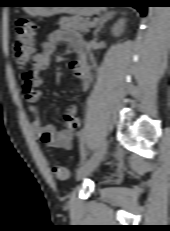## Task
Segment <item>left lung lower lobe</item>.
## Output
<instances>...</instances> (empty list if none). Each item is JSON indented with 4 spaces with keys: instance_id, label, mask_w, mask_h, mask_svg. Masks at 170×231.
Returning <instances> with one entry per match:
<instances>
[{
    "instance_id": "obj_1",
    "label": "left lung lower lobe",
    "mask_w": 170,
    "mask_h": 231,
    "mask_svg": "<svg viewBox=\"0 0 170 231\" xmlns=\"http://www.w3.org/2000/svg\"><path fill=\"white\" fill-rule=\"evenodd\" d=\"M103 6L134 7L142 16L146 15L148 0H100Z\"/></svg>"
}]
</instances>
